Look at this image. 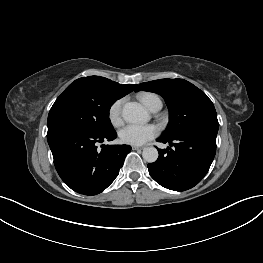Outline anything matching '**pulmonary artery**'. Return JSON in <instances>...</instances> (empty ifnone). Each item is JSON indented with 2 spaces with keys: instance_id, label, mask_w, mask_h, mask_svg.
<instances>
[{
  "instance_id": "pulmonary-artery-1",
  "label": "pulmonary artery",
  "mask_w": 263,
  "mask_h": 263,
  "mask_svg": "<svg viewBox=\"0 0 263 263\" xmlns=\"http://www.w3.org/2000/svg\"><path fill=\"white\" fill-rule=\"evenodd\" d=\"M161 108H162V102L158 101L150 111L153 113H157Z\"/></svg>"
}]
</instances>
